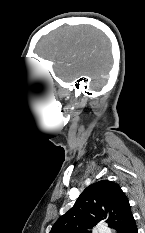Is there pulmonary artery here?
I'll return each instance as SVG.
<instances>
[{"label": "pulmonary artery", "mask_w": 145, "mask_h": 233, "mask_svg": "<svg viewBox=\"0 0 145 233\" xmlns=\"http://www.w3.org/2000/svg\"><path fill=\"white\" fill-rule=\"evenodd\" d=\"M96 232L97 233H110V231L105 227L104 224H100Z\"/></svg>", "instance_id": "e3ab8cb5"}]
</instances>
